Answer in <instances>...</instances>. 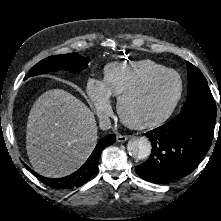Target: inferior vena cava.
<instances>
[{
	"label": "inferior vena cava",
	"mask_w": 221,
	"mask_h": 221,
	"mask_svg": "<svg viewBox=\"0 0 221 221\" xmlns=\"http://www.w3.org/2000/svg\"><path fill=\"white\" fill-rule=\"evenodd\" d=\"M99 125L102 130H108L111 128V121L108 117H105L100 120Z\"/></svg>",
	"instance_id": "obj_1"
}]
</instances>
